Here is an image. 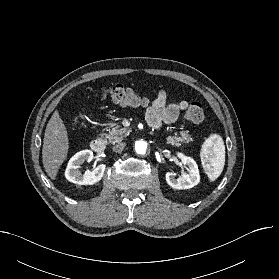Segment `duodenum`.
I'll list each match as a JSON object with an SVG mask.
<instances>
[{
	"instance_id": "obj_1",
	"label": "duodenum",
	"mask_w": 279,
	"mask_h": 279,
	"mask_svg": "<svg viewBox=\"0 0 279 279\" xmlns=\"http://www.w3.org/2000/svg\"><path fill=\"white\" fill-rule=\"evenodd\" d=\"M106 143L101 138H96L91 142V149L94 152L101 153L105 150Z\"/></svg>"
}]
</instances>
